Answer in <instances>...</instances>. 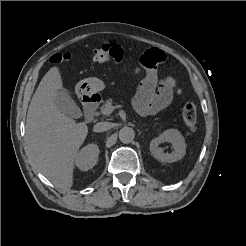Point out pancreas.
<instances>
[{
	"label": "pancreas",
	"mask_w": 246,
	"mask_h": 246,
	"mask_svg": "<svg viewBox=\"0 0 246 246\" xmlns=\"http://www.w3.org/2000/svg\"><path fill=\"white\" fill-rule=\"evenodd\" d=\"M112 104H113L112 99L104 101L102 106L100 107V113L103 115H108V114H105L104 111L108 106H112Z\"/></svg>",
	"instance_id": "obj_1"
}]
</instances>
